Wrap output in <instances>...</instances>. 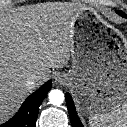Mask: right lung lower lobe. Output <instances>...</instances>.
I'll use <instances>...</instances> for the list:
<instances>
[{
	"label": "right lung lower lobe",
	"mask_w": 127,
	"mask_h": 127,
	"mask_svg": "<svg viewBox=\"0 0 127 127\" xmlns=\"http://www.w3.org/2000/svg\"><path fill=\"white\" fill-rule=\"evenodd\" d=\"M52 82H46L36 92L31 94L22 104L16 115L0 127H35L39 106L50 91Z\"/></svg>",
	"instance_id": "98d812e1"
}]
</instances>
